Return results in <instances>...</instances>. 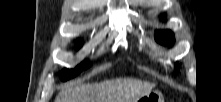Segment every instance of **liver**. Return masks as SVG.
Listing matches in <instances>:
<instances>
[{"label": "liver", "instance_id": "liver-1", "mask_svg": "<svg viewBox=\"0 0 221 102\" xmlns=\"http://www.w3.org/2000/svg\"><path fill=\"white\" fill-rule=\"evenodd\" d=\"M155 84L133 78H118L94 84L68 85L55 102H137Z\"/></svg>", "mask_w": 221, "mask_h": 102}]
</instances>
